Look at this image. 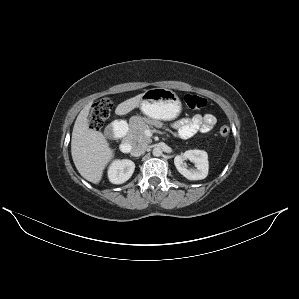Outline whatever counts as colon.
I'll list each match as a JSON object with an SVG mask.
<instances>
[{
  "label": "colon",
  "mask_w": 299,
  "mask_h": 299,
  "mask_svg": "<svg viewBox=\"0 0 299 299\" xmlns=\"http://www.w3.org/2000/svg\"><path fill=\"white\" fill-rule=\"evenodd\" d=\"M184 102L191 110H200L206 105V100L203 97L193 93L186 94ZM112 106V101L109 98H102L94 104L89 116V125L92 130L98 131L102 128L110 115ZM219 133L221 136L226 137L230 133V128L223 125L219 129Z\"/></svg>",
  "instance_id": "colon-1"
}]
</instances>
